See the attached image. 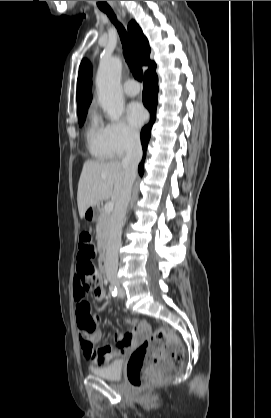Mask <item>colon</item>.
I'll use <instances>...</instances> for the list:
<instances>
[{
    "label": "colon",
    "instance_id": "1",
    "mask_svg": "<svg viewBox=\"0 0 271 418\" xmlns=\"http://www.w3.org/2000/svg\"><path fill=\"white\" fill-rule=\"evenodd\" d=\"M95 252L91 233L81 231L78 261L90 262ZM182 360L183 350L178 337L168 328H159L131 354L127 364L128 380L134 388L163 380L180 369Z\"/></svg>",
    "mask_w": 271,
    "mask_h": 418
}]
</instances>
